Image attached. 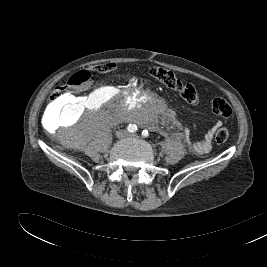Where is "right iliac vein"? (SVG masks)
Here are the masks:
<instances>
[{"instance_id": "obj_1", "label": "right iliac vein", "mask_w": 267, "mask_h": 267, "mask_svg": "<svg viewBox=\"0 0 267 267\" xmlns=\"http://www.w3.org/2000/svg\"><path fill=\"white\" fill-rule=\"evenodd\" d=\"M124 136V133L120 132L118 133V137H123Z\"/></svg>"}]
</instances>
